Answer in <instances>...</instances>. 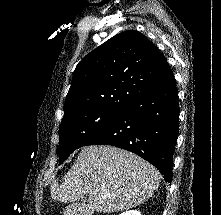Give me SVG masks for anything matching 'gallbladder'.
Returning a JSON list of instances; mask_svg holds the SVG:
<instances>
[{"mask_svg": "<svg viewBox=\"0 0 221 215\" xmlns=\"http://www.w3.org/2000/svg\"><path fill=\"white\" fill-rule=\"evenodd\" d=\"M87 201V198H82V202H86Z\"/></svg>", "mask_w": 221, "mask_h": 215, "instance_id": "gallbladder-1", "label": "gallbladder"}]
</instances>
